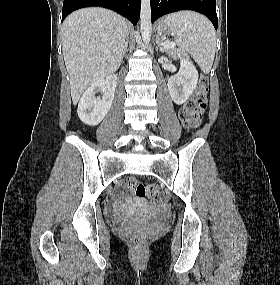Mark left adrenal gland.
Returning a JSON list of instances; mask_svg holds the SVG:
<instances>
[{
	"label": "left adrenal gland",
	"mask_w": 280,
	"mask_h": 285,
	"mask_svg": "<svg viewBox=\"0 0 280 285\" xmlns=\"http://www.w3.org/2000/svg\"><path fill=\"white\" fill-rule=\"evenodd\" d=\"M155 42H156V50H158L159 48L161 51H163L164 43L160 40V37L158 35H156Z\"/></svg>",
	"instance_id": "obj_1"
}]
</instances>
